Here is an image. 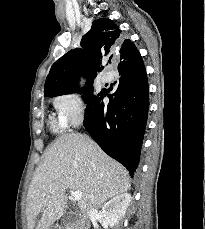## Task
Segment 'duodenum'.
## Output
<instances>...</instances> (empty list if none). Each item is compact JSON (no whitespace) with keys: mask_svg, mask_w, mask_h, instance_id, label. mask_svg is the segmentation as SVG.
Instances as JSON below:
<instances>
[{"mask_svg":"<svg viewBox=\"0 0 205 229\" xmlns=\"http://www.w3.org/2000/svg\"><path fill=\"white\" fill-rule=\"evenodd\" d=\"M61 223L74 224L76 229H85L86 228L84 223H81L78 220L73 219L72 217L63 218L61 220Z\"/></svg>","mask_w":205,"mask_h":229,"instance_id":"duodenum-1","label":"duodenum"}]
</instances>
